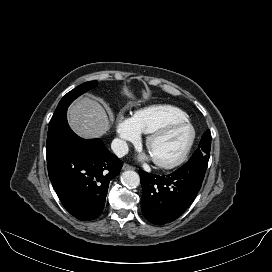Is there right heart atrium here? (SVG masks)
<instances>
[{"mask_svg":"<svg viewBox=\"0 0 272 272\" xmlns=\"http://www.w3.org/2000/svg\"><path fill=\"white\" fill-rule=\"evenodd\" d=\"M117 134L120 139L117 151L123 153L126 151L127 143H137L140 140V133L136 129L132 118L120 116L117 121Z\"/></svg>","mask_w":272,"mask_h":272,"instance_id":"obj_1","label":"right heart atrium"}]
</instances>
